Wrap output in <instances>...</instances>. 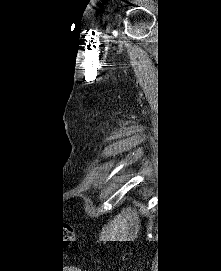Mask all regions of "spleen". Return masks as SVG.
Listing matches in <instances>:
<instances>
[{"instance_id": "1", "label": "spleen", "mask_w": 221, "mask_h": 271, "mask_svg": "<svg viewBox=\"0 0 221 271\" xmlns=\"http://www.w3.org/2000/svg\"><path fill=\"white\" fill-rule=\"evenodd\" d=\"M140 221L134 207H124L106 223L101 237L105 241H133L140 233Z\"/></svg>"}]
</instances>
